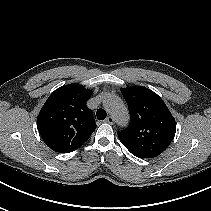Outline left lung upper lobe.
<instances>
[{"instance_id":"1","label":"left lung upper lobe","mask_w":211,"mask_h":211,"mask_svg":"<svg viewBox=\"0 0 211 211\" xmlns=\"http://www.w3.org/2000/svg\"><path fill=\"white\" fill-rule=\"evenodd\" d=\"M127 102L130 123L117 132L122 144L136 157L153 158L171 143L176 123L164 101L148 88H121Z\"/></svg>"}]
</instances>
